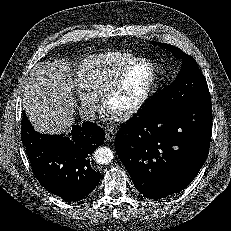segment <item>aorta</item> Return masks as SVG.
Listing matches in <instances>:
<instances>
[{
	"mask_svg": "<svg viewBox=\"0 0 231 231\" xmlns=\"http://www.w3.org/2000/svg\"><path fill=\"white\" fill-rule=\"evenodd\" d=\"M113 157V151L108 147H100L94 152L95 161L99 164H108L111 162Z\"/></svg>",
	"mask_w": 231,
	"mask_h": 231,
	"instance_id": "obj_1",
	"label": "aorta"
}]
</instances>
